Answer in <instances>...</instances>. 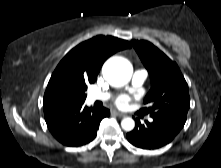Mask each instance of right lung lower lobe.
<instances>
[{
    "label": "right lung lower lobe",
    "mask_w": 221,
    "mask_h": 168,
    "mask_svg": "<svg viewBox=\"0 0 221 168\" xmlns=\"http://www.w3.org/2000/svg\"><path fill=\"white\" fill-rule=\"evenodd\" d=\"M84 102L44 107L48 129L63 145L81 146L96 137L101 120L110 115L107 108H88Z\"/></svg>",
    "instance_id": "obj_1"
}]
</instances>
